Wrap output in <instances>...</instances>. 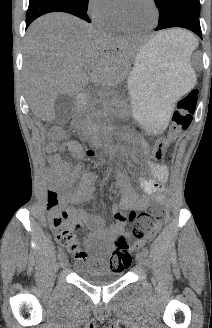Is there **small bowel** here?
<instances>
[{
    "mask_svg": "<svg viewBox=\"0 0 212 328\" xmlns=\"http://www.w3.org/2000/svg\"><path fill=\"white\" fill-rule=\"evenodd\" d=\"M66 149L76 157L82 155L80 146L74 142L50 143L46 147L49 174L54 185L61 192L63 204L68 206L69 223L64 222L63 226L70 227L71 224L76 227L85 226L89 230V235L84 240V247L91 253L97 265L109 267L111 270H123L116 262H112V259L108 261L107 254L111 250L114 239L125 231L127 219L123 211L130 208L142 209L148 199L137 193L123 173H115L113 178L121 189V199L111 206L115 223L107 228L104 219L99 214L81 208L93 199V184L99 180V174L96 172L81 174L79 165H72L59 153ZM148 165L151 178L142 179L139 187L143 193L151 196L154 202L162 203L163 194L166 191L167 167L163 163L153 161H148ZM82 251L83 254L79 258H86V251Z\"/></svg>",
    "mask_w": 212,
    "mask_h": 328,
    "instance_id": "obj_1",
    "label": "small bowel"
}]
</instances>
